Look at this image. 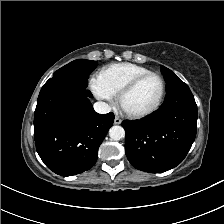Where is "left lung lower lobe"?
<instances>
[{
  "label": "left lung lower lobe",
  "instance_id": "left-lung-lower-lobe-1",
  "mask_svg": "<svg viewBox=\"0 0 224 224\" xmlns=\"http://www.w3.org/2000/svg\"><path fill=\"white\" fill-rule=\"evenodd\" d=\"M197 105L189 88L166 97L159 110L135 122L123 121L125 151L137 169L165 172L186 157L195 140Z\"/></svg>",
  "mask_w": 224,
  "mask_h": 224
}]
</instances>
